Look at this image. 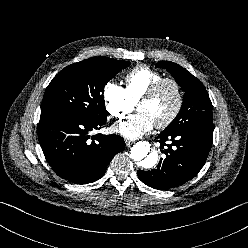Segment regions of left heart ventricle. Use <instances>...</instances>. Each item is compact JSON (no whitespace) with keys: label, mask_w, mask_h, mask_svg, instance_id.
Listing matches in <instances>:
<instances>
[{"label":"left heart ventricle","mask_w":248,"mask_h":248,"mask_svg":"<svg viewBox=\"0 0 248 248\" xmlns=\"http://www.w3.org/2000/svg\"><path fill=\"white\" fill-rule=\"evenodd\" d=\"M177 95L172 84H164L157 94L150 100L138 105V111L145 112L157 124L165 120L174 110Z\"/></svg>","instance_id":"b2bd125f"}]
</instances>
